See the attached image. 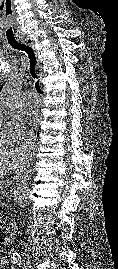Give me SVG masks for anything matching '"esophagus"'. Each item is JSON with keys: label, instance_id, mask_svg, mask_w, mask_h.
<instances>
[{"label": "esophagus", "instance_id": "esophagus-1", "mask_svg": "<svg viewBox=\"0 0 118 269\" xmlns=\"http://www.w3.org/2000/svg\"><path fill=\"white\" fill-rule=\"evenodd\" d=\"M19 41L21 43H24V44L30 46L32 48V50L34 51V53L36 55V58H37V52H36V49H35L34 41L30 37L19 38ZM37 66L39 68V60H38V58H37Z\"/></svg>", "mask_w": 118, "mask_h": 269}]
</instances>
